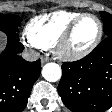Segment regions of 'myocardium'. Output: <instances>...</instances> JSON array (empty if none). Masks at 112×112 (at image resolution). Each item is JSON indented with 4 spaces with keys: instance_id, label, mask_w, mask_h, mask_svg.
Wrapping results in <instances>:
<instances>
[{
    "instance_id": "myocardium-1",
    "label": "myocardium",
    "mask_w": 112,
    "mask_h": 112,
    "mask_svg": "<svg viewBox=\"0 0 112 112\" xmlns=\"http://www.w3.org/2000/svg\"><path fill=\"white\" fill-rule=\"evenodd\" d=\"M85 17H92L97 21L98 24V33L93 40V42L85 49L78 52H70L66 50V44L69 41L75 27L77 24ZM103 36V24L98 16L92 13H82L78 17H76L71 23L66 27V29L62 32V34L57 39L54 45V53L63 60L66 61H77L85 58L90 53H92L96 47L99 45Z\"/></svg>"
}]
</instances>
